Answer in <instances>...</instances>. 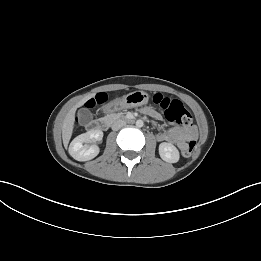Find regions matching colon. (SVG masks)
<instances>
[{"label":"colon","instance_id":"obj_1","mask_svg":"<svg viewBox=\"0 0 261 261\" xmlns=\"http://www.w3.org/2000/svg\"><path fill=\"white\" fill-rule=\"evenodd\" d=\"M106 100L105 95H98L95 99L88 101V106L93 107L96 104L103 103ZM153 101L158 105L165 114V117L176 124H180L184 127H189L192 124V116L184 107V105L178 100H172L163 96L162 94H156L153 97ZM196 148V142L194 140L190 141L183 149L182 154L185 157L192 155Z\"/></svg>","mask_w":261,"mask_h":261}]
</instances>
